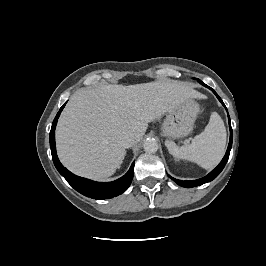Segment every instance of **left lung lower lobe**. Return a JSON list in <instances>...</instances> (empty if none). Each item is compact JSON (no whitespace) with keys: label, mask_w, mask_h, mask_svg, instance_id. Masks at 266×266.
I'll return each instance as SVG.
<instances>
[{"label":"left lung lower lobe","mask_w":266,"mask_h":266,"mask_svg":"<svg viewBox=\"0 0 266 266\" xmlns=\"http://www.w3.org/2000/svg\"><path fill=\"white\" fill-rule=\"evenodd\" d=\"M198 81L202 85H204V86L208 87L209 89H211L213 91V93L217 96L219 101L224 105V103L221 100V98L218 96V94L212 88H210L209 86L205 85L199 79H198ZM224 107L226 108L225 105H224ZM226 110H227V108H226ZM228 119H229V128H230V141H229V145H228L226 154H225L224 158L222 159V161L220 162V164L213 171H211L207 176H205V177H203L201 179H198V180L182 181V180L175 179V178H173V177L168 175L173 181H175L180 186H183V187H186V188H191V187L199 186V185H202L204 183L210 182V181L215 179L220 174V172L223 170V168L225 167V165H226V163L228 161L230 150H231V147H232L233 133H232V128H231L229 115H228Z\"/></svg>","instance_id":"obj_1"}]
</instances>
